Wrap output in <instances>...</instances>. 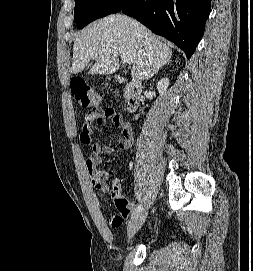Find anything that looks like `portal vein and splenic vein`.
I'll return each mask as SVG.
<instances>
[{
  "mask_svg": "<svg viewBox=\"0 0 253 271\" xmlns=\"http://www.w3.org/2000/svg\"><path fill=\"white\" fill-rule=\"evenodd\" d=\"M120 57L124 63H127L129 65L133 63L132 60L123 53H120Z\"/></svg>",
  "mask_w": 253,
  "mask_h": 271,
  "instance_id": "obj_1",
  "label": "portal vein and splenic vein"
}]
</instances>
